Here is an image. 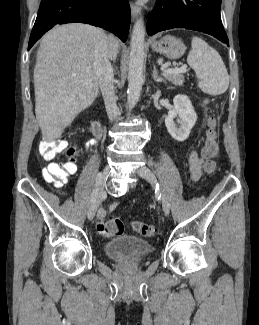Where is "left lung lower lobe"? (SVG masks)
<instances>
[{
	"label": "left lung lower lobe",
	"instance_id": "obj_1",
	"mask_svg": "<svg viewBox=\"0 0 259 325\" xmlns=\"http://www.w3.org/2000/svg\"><path fill=\"white\" fill-rule=\"evenodd\" d=\"M220 7L221 0H158L149 16L147 33L186 28L210 34L229 46Z\"/></svg>",
	"mask_w": 259,
	"mask_h": 325
}]
</instances>
